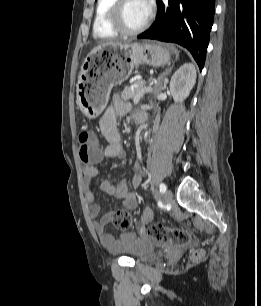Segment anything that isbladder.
<instances>
[{"instance_id":"bladder-1","label":"bladder","mask_w":261,"mask_h":306,"mask_svg":"<svg viewBox=\"0 0 261 306\" xmlns=\"http://www.w3.org/2000/svg\"><path fill=\"white\" fill-rule=\"evenodd\" d=\"M156 245L147 240H139L132 247L129 256L137 263H149L156 259L155 254Z\"/></svg>"}]
</instances>
